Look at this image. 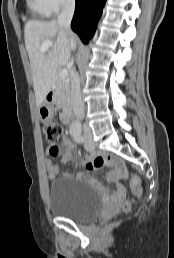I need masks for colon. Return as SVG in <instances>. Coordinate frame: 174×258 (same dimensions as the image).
I'll return each mask as SVG.
<instances>
[{
	"instance_id": "obj_1",
	"label": "colon",
	"mask_w": 174,
	"mask_h": 258,
	"mask_svg": "<svg viewBox=\"0 0 174 258\" xmlns=\"http://www.w3.org/2000/svg\"><path fill=\"white\" fill-rule=\"evenodd\" d=\"M42 134L44 136L45 142L51 147L52 155L57 154L56 144L62 135V126L57 122H46L42 126ZM131 194L130 197L122 203V210L129 211L136 199L141 193V183L140 179L136 175L131 176L130 181Z\"/></svg>"
}]
</instances>
